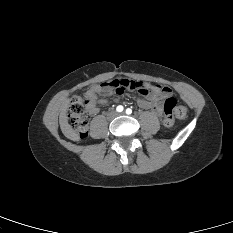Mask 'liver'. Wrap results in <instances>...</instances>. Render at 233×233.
Segmentation results:
<instances>
[{"label":"liver","instance_id":"obj_1","mask_svg":"<svg viewBox=\"0 0 233 233\" xmlns=\"http://www.w3.org/2000/svg\"><path fill=\"white\" fill-rule=\"evenodd\" d=\"M68 106H69V100L68 99L63 100L60 105V114H59L60 128L62 133L66 136L71 132V127L68 124L67 114H66Z\"/></svg>","mask_w":233,"mask_h":233}]
</instances>
